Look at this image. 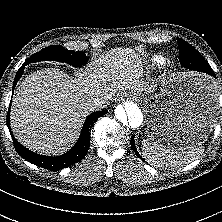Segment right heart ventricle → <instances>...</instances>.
<instances>
[{"mask_svg":"<svg viewBox=\"0 0 222 222\" xmlns=\"http://www.w3.org/2000/svg\"><path fill=\"white\" fill-rule=\"evenodd\" d=\"M165 59L162 56H154L152 59L153 64L160 66L164 63Z\"/></svg>","mask_w":222,"mask_h":222,"instance_id":"obj_1","label":"right heart ventricle"}]
</instances>
